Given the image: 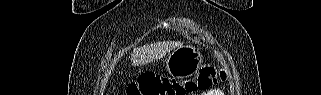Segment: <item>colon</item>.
I'll return each mask as SVG.
<instances>
[{
  "label": "colon",
  "instance_id": "obj_1",
  "mask_svg": "<svg viewBox=\"0 0 321 95\" xmlns=\"http://www.w3.org/2000/svg\"><path fill=\"white\" fill-rule=\"evenodd\" d=\"M223 70L211 66L201 67L193 79L177 81L160 75H143L130 84L128 95H185L207 90L219 80H225Z\"/></svg>",
  "mask_w": 321,
  "mask_h": 95
}]
</instances>
